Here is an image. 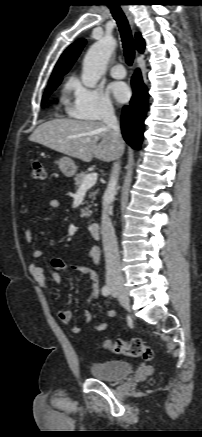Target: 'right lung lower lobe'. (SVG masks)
Returning a JSON list of instances; mask_svg holds the SVG:
<instances>
[{
    "mask_svg": "<svg viewBox=\"0 0 202 437\" xmlns=\"http://www.w3.org/2000/svg\"><path fill=\"white\" fill-rule=\"evenodd\" d=\"M133 97L129 105L123 107L121 129L125 141L134 149H140L144 133V119L148 107V93L140 70L132 77Z\"/></svg>",
    "mask_w": 202,
    "mask_h": 437,
    "instance_id": "1",
    "label": "right lung lower lobe"
}]
</instances>
